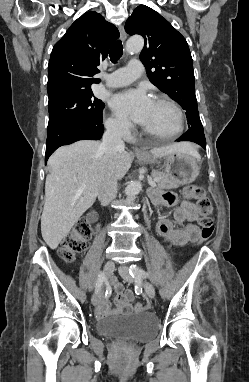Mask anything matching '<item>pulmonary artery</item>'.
<instances>
[{
  "instance_id": "obj_1",
  "label": "pulmonary artery",
  "mask_w": 249,
  "mask_h": 382,
  "mask_svg": "<svg viewBox=\"0 0 249 382\" xmlns=\"http://www.w3.org/2000/svg\"><path fill=\"white\" fill-rule=\"evenodd\" d=\"M143 64L139 60H131L125 67L117 69L106 77V85L117 88L126 86L141 76Z\"/></svg>"
}]
</instances>
